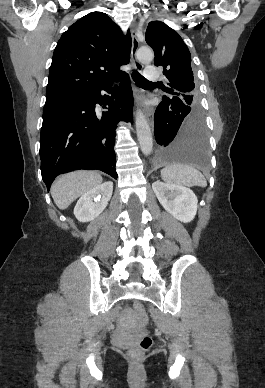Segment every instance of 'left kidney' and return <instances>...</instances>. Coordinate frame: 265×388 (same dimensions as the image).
Returning <instances> with one entry per match:
<instances>
[{
    "mask_svg": "<svg viewBox=\"0 0 265 388\" xmlns=\"http://www.w3.org/2000/svg\"><path fill=\"white\" fill-rule=\"evenodd\" d=\"M152 190L161 206L173 218L184 222V224L194 220L198 200L190 188L176 186V184H163L158 180L152 184Z\"/></svg>",
    "mask_w": 265,
    "mask_h": 388,
    "instance_id": "obj_1",
    "label": "left kidney"
}]
</instances>
